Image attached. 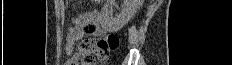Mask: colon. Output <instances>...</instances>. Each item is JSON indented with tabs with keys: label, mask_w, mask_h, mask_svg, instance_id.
<instances>
[{
	"label": "colon",
	"mask_w": 232,
	"mask_h": 65,
	"mask_svg": "<svg viewBox=\"0 0 232 65\" xmlns=\"http://www.w3.org/2000/svg\"><path fill=\"white\" fill-rule=\"evenodd\" d=\"M119 42L118 35L109 33L98 41H82L79 51L87 63L95 65L97 61L104 59L110 51L117 49Z\"/></svg>",
	"instance_id": "obj_1"
}]
</instances>
